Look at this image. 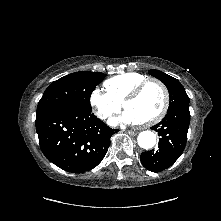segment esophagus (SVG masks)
Wrapping results in <instances>:
<instances>
[{"instance_id":"1","label":"esophagus","mask_w":221,"mask_h":221,"mask_svg":"<svg viewBox=\"0 0 221 221\" xmlns=\"http://www.w3.org/2000/svg\"><path fill=\"white\" fill-rule=\"evenodd\" d=\"M128 134L131 135V136H134V135L137 134V132L129 130V131H128Z\"/></svg>"}]
</instances>
